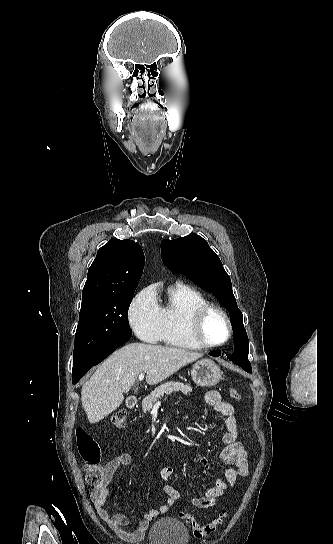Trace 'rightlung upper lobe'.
I'll list each match as a JSON object with an SVG mask.
<instances>
[{
    "mask_svg": "<svg viewBox=\"0 0 333 544\" xmlns=\"http://www.w3.org/2000/svg\"><path fill=\"white\" fill-rule=\"evenodd\" d=\"M144 262V253L138 243L111 239L98 250L88 270L82 304L96 297L134 291Z\"/></svg>",
    "mask_w": 333,
    "mask_h": 544,
    "instance_id": "cb5924a9",
    "label": "right lung upper lobe"
}]
</instances>
